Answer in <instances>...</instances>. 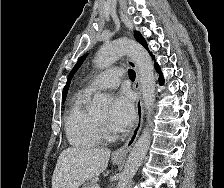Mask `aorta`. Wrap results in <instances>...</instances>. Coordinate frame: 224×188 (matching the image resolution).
<instances>
[{
    "instance_id": "1",
    "label": "aorta",
    "mask_w": 224,
    "mask_h": 188,
    "mask_svg": "<svg viewBox=\"0 0 224 188\" xmlns=\"http://www.w3.org/2000/svg\"><path fill=\"white\" fill-rule=\"evenodd\" d=\"M125 54L130 56L138 68L144 105L147 115L150 117L155 102L156 82L151 57L143 46L128 39L115 40L100 47L94 59V63L99 69H105L110 67ZM109 103L110 100L107 96L96 93L91 104V109L98 112L105 111ZM150 140V129L149 125H147L128 156L118 183V188H126L129 180L135 175L148 151Z\"/></svg>"
}]
</instances>
